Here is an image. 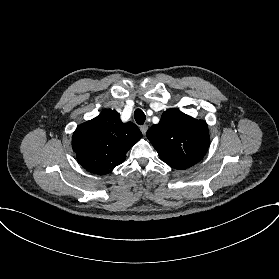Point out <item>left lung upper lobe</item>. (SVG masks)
<instances>
[{
  "label": "left lung upper lobe",
  "mask_w": 279,
  "mask_h": 279,
  "mask_svg": "<svg viewBox=\"0 0 279 279\" xmlns=\"http://www.w3.org/2000/svg\"><path fill=\"white\" fill-rule=\"evenodd\" d=\"M147 137L162 161L175 169L198 163L209 145L206 122L176 109L165 111L160 122L147 131Z\"/></svg>",
  "instance_id": "left-lung-upper-lobe-1"
}]
</instances>
